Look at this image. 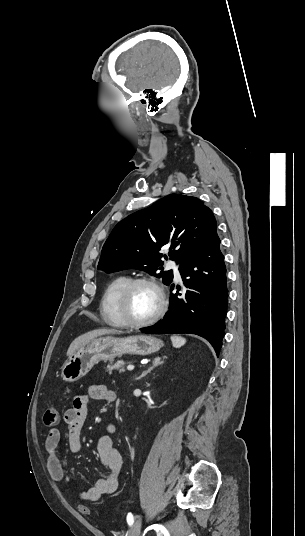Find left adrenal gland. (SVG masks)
<instances>
[{
  "label": "left adrenal gland",
  "instance_id": "a2214340",
  "mask_svg": "<svg viewBox=\"0 0 305 536\" xmlns=\"http://www.w3.org/2000/svg\"><path fill=\"white\" fill-rule=\"evenodd\" d=\"M160 364H163V362H161V358H154L151 368H149V370H146V372H142L141 376H139V378H136V380H141V378H145V376H147V374H149V372H151L153 368H156V366H160Z\"/></svg>",
  "mask_w": 305,
  "mask_h": 536
}]
</instances>
